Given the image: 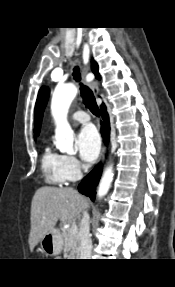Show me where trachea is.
<instances>
[{"label":"trachea","instance_id":"1","mask_svg":"<svg viewBox=\"0 0 175 287\" xmlns=\"http://www.w3.org/2000/svg\"><path fill=\"white\" fill-rule=\"evenodd\" d=\"M73 76L74 79L77 82H80V73H79V69L78 67L74 68V72H73ZM80 91H81V97L83 99V103L85 104V106L96 116H99V108L98 105L96 103L95 97L93 95V92L91 91V89L83 84H80Z\"/></svg>","mask_w":175,"mask_h":287}]
</instances>
